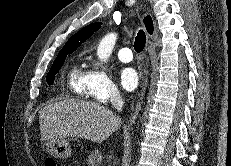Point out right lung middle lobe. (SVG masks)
<instances>
[{
	"mask_svg": "<svg viewBox=\"0 0 231 166\" xmlns=\"http://www.w3.org/2000/svg\"><path fill=\"white\" fill-rule=\"evenodd\" d=\"M67 54H61L58 55L57 58L55 59L53 65L51 66L48 74H47V83L49 85H52L54 82V78L60 67L63 65L64 60L66 58Z\"/></svg>",
	"mask_w": 231,
	"mask_h": 166,
	"instance_id": "dd1d6c3e",
	"label": "right lung middle lobe"
}]
</instances>
